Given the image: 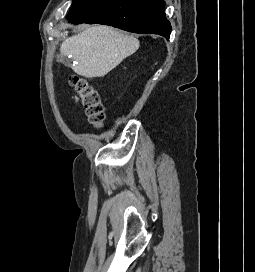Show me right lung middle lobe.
I'll list each match as a JSON object with an SVG mask.
<instances>
[{
  "label": "right lung middle lobe",
  "instance_id": "obj_1",
  "mask_svg": "<svg viewBox=\"0 0 255 272\" xmlns=\"http://www.w3.org/2000/svg\"><path fill=\"white\" fill-rule=\"evenodd\" d=\"M90 0H74L71 10L69 14L67 15V19L71 17L79 8H81L84 4L89 2Z\"/></svg>",
  "mask_w": 255,
  "mask_h": 272
}]
</instances>
